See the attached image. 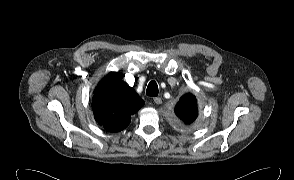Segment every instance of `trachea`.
I'll use <instances>...</instances> for the list:
<instances>
[{"label":"trachea","mask_w":294,"mask_h":180,"mask_svg":"<svg viewBox=\"0 0 294 180\" xmlns=\"http://www.w3.org/2000/svg\"><path fill=\"white\" fill-rule=\"evenodd\" d=\"M146 94L149 95V96H157L158 95V86H157V83L155 81H151L148 84Z\"/></svg>","instance_id":"trachea-1"}]
</instances>
